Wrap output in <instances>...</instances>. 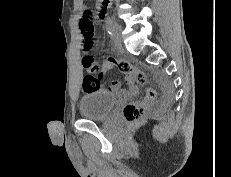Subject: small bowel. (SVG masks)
<instances>
[{"label":"small bowel","mask_w":231,"mask_h":177,"mask_svg":"<svg viewBox=\"0 0 231 177\" xmlns=\"http://www.w3.org/2000/svg\"><path fill=\"white\" fill-rule=\"evenodd\" d=\"M99 2L98 10L95 13L94 17L97 21L101 20L103 18L104 9L108 6L109 0H97ZM89 10L83 9V15L88 12ZM113 67V64L109 61L105 60L101 65V70L98 73V78L101 80L104 77V74ZM126 83L130 86L131 89H134V81L131 77L127 76ZM120 88V82L119 81H112L110 84L109 89L112 90H118Z\"/></svg>","instance_id":"obj_1"}]
</instances>
